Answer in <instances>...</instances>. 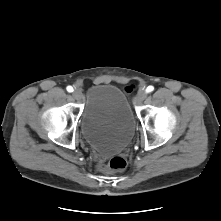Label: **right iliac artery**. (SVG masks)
<instances>
[{"label": "right iliac artery", "mask_w": 221, "mask_h": 221, "mask_svg": "<svg viewBox=\"0 0 221 221\" xmlns=\"http://www.w3.org/2000/svg\"><path fill=\"white\" fill-rule=\"evenodd\" d=\"M67 91H68V92H73V87L68 86V87H67Z\"/></svg>", "instance_id": "right-iliac-artery-1"}]
</instances>
